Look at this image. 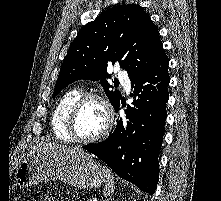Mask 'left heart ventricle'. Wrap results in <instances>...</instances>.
Returning a JSON list of instances; mask_svg holds the SVG:
<instances>
[{
    "label": "left heart ventricle",
    "mask_w": 221,
    "mask_h": 201,
    "mask_svg": "<svg viewBox=\"0 0 221 201\" xmlns=\"http://www.w3.org/2000/svg\"><path fill=\"white\" fill-rule=\"evenodd\" d=\"M106 124L103 105L97 100L86 102L81 108L76 122L75 131L82 138H90L99 134Z\"/></svg>",
    "instance_id": "left-heart-ventricle-1"
}]
</instances>
